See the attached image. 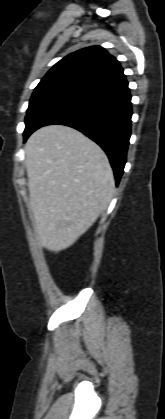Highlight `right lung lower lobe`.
Instances as JSON below:
<instances>
[{
    "instance_id": "obj_1",
    "label": "right lung lower lobe",
    "mask_w": 165,
    "mask_h": 419,
    "mask_svg": "<svg viewBox=\"0 0 165 419\" xmlns=\"http://www.w3.org/2000/svg\"><path fill=\"white\" fill-rule=\"evenodd\" d=\"M131 116V95L124 78L50 112L30 134L50 124L67 125L81 131L106 152L118 185L126 163Z\"/></svg>"
}]
</instances>
